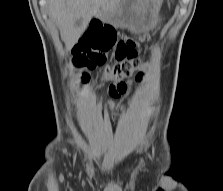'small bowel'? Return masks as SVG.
<instances>
[{"label":"small bowel","instance_id":"small-bowel-1","mask_svg":"<svg viewBox=\"0 0 223 191\" xmlns=\"http://www.w3.org/2000/svg\"><path fill=\"white\" fill-rule=\"evenodd\" d=\"M101 25L102 24H100V23L97 24V26H101ZM127 91H128V85L125 82H121L118 84H112L109 86V89H108L109 95L113 98L123 96L127 93ZM105 107L108 110L112 111L115 109L116 105H115L114 101L110 100L105 104ZM121 108H123V107H121Z\"/></svg>","mask_w":223,"mask_h":191}]
</instances>
